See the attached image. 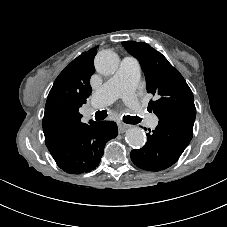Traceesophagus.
I'll return each mask as SVG.
<instances>
[{"mask_svg":"<svg viewBox=\"0 0 227 227\" xmlns=\"http://www.w3.org/2000/svg\"><path fill=\"white\" fill-rule=\"evenodd\" d=\"M128 127H129L128 125L119 122L118 123V131H119V133L125 132Z\"/></svg>","mask_w":227,"mask_h":227,"instance_id":"1","label":"esophagus"}]
</instances>
